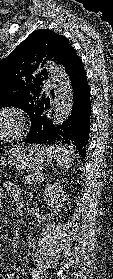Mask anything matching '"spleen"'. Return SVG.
Segmentation results:
<instances>
[{
	"label": "spleen",
	"instance_id": "1",
	"mask_svg": "<svg viewBox=\"0 0 113 279\" xmlns=\"http://www.w3.org/2000/svg\"><path fill=\"white\" fill-rule=\"evenodd\" d=\"M57 161V167L61 169H68L74 162L75 154L73 149H68L60 146L45 147Z\"/></svg>",
	"mask_w": 113,
	"mask_h": 279
}]
</instances>
